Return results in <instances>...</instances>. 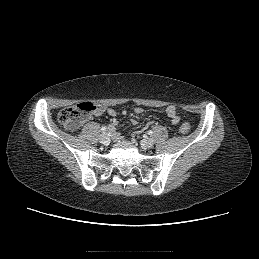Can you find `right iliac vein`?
I'll return each instance as SVG.
<instances>
[{
	"mask_svg": "<svg viewBox=\"0 0 259 259\" xmlns=\"http://www.w3.org/2000/svg\"><path fill=\"white\" fill-rule=\"evenodd\" d=\"M100 142L104 145H108L110 142V139L106 133H102L100 136Z\"/></svg>",
	"mask_w": 259,
	"mask_h": 259,
	"instance_id": "1",
	"label": "right iliac vein"
}]
</instances>
